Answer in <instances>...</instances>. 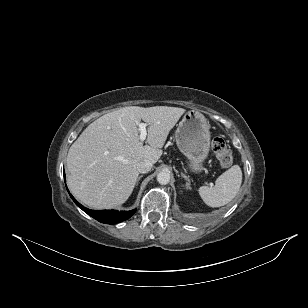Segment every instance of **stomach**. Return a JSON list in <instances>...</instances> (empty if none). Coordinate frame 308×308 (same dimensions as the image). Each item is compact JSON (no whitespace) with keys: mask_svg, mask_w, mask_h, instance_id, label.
<instances>
[{"mask_svg":"<svg viewBox=\"0 0 308 308\" xmlns=\"http://www.w3.org/2000/svg\"><path fill=\"white\" fill-rule=\"evenodd\" d=\"M210 126L205 116L195 110L188 111L175 132L179 150L188 158L194 172L202 170V163L210 150Z\"/></svg>","mask_w":308,"mask_h":308,"instance_id":"1","label":"stomach"}]
</instances>
